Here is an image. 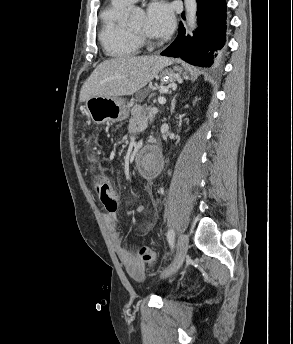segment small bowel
Instances as JSON below:
<instances>
[{
	"mask_svg": "<svg viewBox=\"0 0 293 344\" xmlns=\"http://www.w3.org/2000/svg\"><path fill=\"white\" fill-rule=\"evenodd\" d=\"M104 220L121 263L133 277L140 279L143 276V262L138 257L132 255L124 246L122 235L118 230V216L116 210L107 212L104 215ZM154 225L155 222L153 221L147 225V228L150 229L154 227Z\"/></svg>",
	"mask_w": 293,
	"mask_h": 344,
	"instance_id": "obj_1",
	"label": "small bowel"
}]
</instances>
